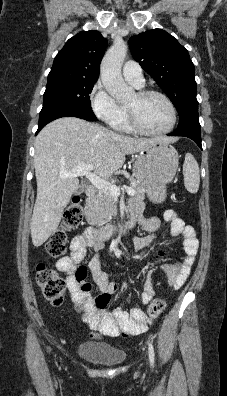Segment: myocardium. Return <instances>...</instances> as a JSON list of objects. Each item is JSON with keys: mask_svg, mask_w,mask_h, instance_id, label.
<instances>
[{"mask_svg": "<svg viewBox=\"0 0 227 396\" xmlns=\"http://www.w3.org/2000/svg\"><path fill=\"white\" fill-rule=\"evenodd\" d=\"M137 95L139 97L156 95V96H159L160 98H162L169 107V110L171 113V121H170V124L163 130H160V131L148 130L145 127H143V125L139 121V118H138L135 110L127 106L126 109H127L128 119H129L131 127L136 132L143 134V135H147V136H163V135L170 133L174 129V127L177 123V110H176V107H175L174 103L172 102V100L165 93L155 90V89H143V90L138 91Z\"/></svg>", "mask_w": 227, "mask_h": 396, "instance_id": "1", "label": "myocardium"}]
</instances>
